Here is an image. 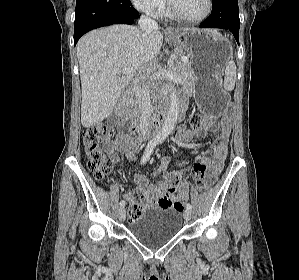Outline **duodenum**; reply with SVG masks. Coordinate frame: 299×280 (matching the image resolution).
Here are the masks:
<instances>
[{"label":"duodenum","instance_id":"1","mask_svg":"<svg viewBox=\"0 0 299 280\" xmlns=\"http://www.w3.org/2000/svg\"><path fill=\"white\" fill-rule=\"evenodd\" d=\"M132 99L133 93H124L118 106V125L122 132L129 134L136 139H143L155 135L163 122L166 111L168 110V102H163L150 123L141 127L133 121L132 116Z\"/></svg>","mask_w":299,"mask_h":280}]
</instances>
